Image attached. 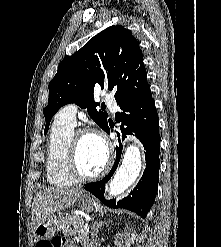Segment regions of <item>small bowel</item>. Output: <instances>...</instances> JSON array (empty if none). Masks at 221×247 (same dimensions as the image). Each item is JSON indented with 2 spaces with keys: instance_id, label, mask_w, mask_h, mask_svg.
<instances>
[{
  "instance_id": "obj_1",
  "label": "small bowel",
  "mask_w": 221,
  "mask_h": 247,
  "mask_svg": "<svg viewBox=\"0 0 221 247\" xmlns=\"http://www.w3.org/2000/svg\"><path fill=\"white\" fill-rule=\"evenodd\" d=\"M40 242V241H39ZM37 245V244H36ZM61 247H74V245L73 244H71V243H69V242H63L62 243V245H61Z\"/></svg>"
}]
</instances>
